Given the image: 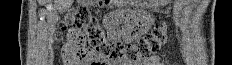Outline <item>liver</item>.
I'll use <instances>...</instances> for the list:
<instances>
[{
	"mask_svg": "<svg viewBox=\"0 0 232 65\" xmlns=\"http://www.w3.org/2000/svg\"><path fill=\"white\" fill-rule=\"evenodd\" d=\"M55 7L60 11H64L72 2L73 0H54Z\"/></svg>",
	"mask_w": 232,
	"mask_h": 65,
	"instance_id": "obj_1",
	"label": "liver"
}]
</instances>
